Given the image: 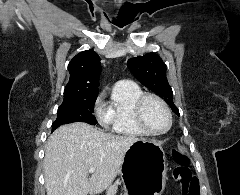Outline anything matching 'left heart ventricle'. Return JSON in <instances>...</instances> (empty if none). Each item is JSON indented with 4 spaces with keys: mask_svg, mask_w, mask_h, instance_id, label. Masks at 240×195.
Masks as SVG:
<instances>
[{
    "mask_svg": "<svg viewBox=\"0 0 240 195\" xmlns=\"http://www.w3.org/2000/svg\"><path fill=\"white\" fill-rule=\"evenodd\" d=\"M144 118L147 125L155 130H163L167 125V118L162 107L154 100H148L144 106Z\"/></svg>",
    "mask_w": 240,
    "mask_h": 195,
    "instance_id": "1",
    "label": "left heart ventricle"
}]
</instances>
